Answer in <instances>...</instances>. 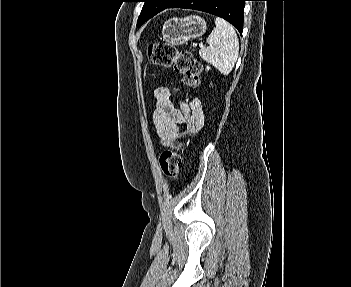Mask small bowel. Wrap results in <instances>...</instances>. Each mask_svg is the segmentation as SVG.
<instances>
[{
	"instance_id": "small-bowel-1",
	"label": "small bowel",
	"mask_w": 351,
	"mask_h": 287,
	"mask_svg": "<svg viewBox=\"0 0 351 287\" xmlns=\"http://www.w3.org/2000/svg\"><path fill=\"white\" fill-rule=\"evenodd\" d=\"M154 99L156 109L153 122L163 145L170 146L180 135L183 125L191 133L198 132L203 127L205 116L198 99L182 103L177 108L173 105L170 91L166 87L157 88Z\"/></svg>"
}]
</instances>
